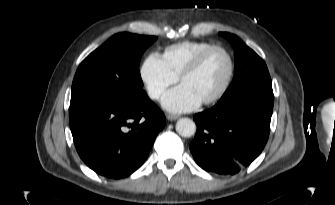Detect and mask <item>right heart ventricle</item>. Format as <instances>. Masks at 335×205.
I'll return each instance as SVG.
<instances>
[{
  "label": "right heart ventricle",
  "instance_id": "1",
  "mask_svg": "<svg viewBox=\"0 0 335 205\" xmlns=\"http://www.w3.org/2000/svg\"><path fill=\"white\" fill-rule=\"evenodd\" d=\"M212 44L204 41H182L167 46L162 53V59L167 67L180 76L186 66L204 49Z\"/></svg>",
  "mask_w": 335,
  "mask_h": 205
}]
</instances>
